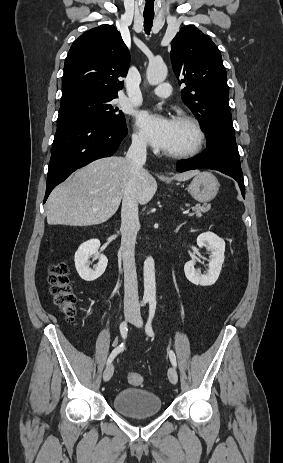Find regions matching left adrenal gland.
<instances>
[{"label": "left adrenal gland", "mask_w": 283, "mask_h": 463, "mask_svg": "<svg viewBox=\"0 0 283 463\" xmlns=\"http://www.w3.org/2000/svg\"><path fill=\"white\" fill-rule=\"evenodd\" d=\"M184 224H185V223L180 224V225L177 227L176 230L178 231Z\"/></svg>", "instance_id": "obj_1"}]
</instances>
